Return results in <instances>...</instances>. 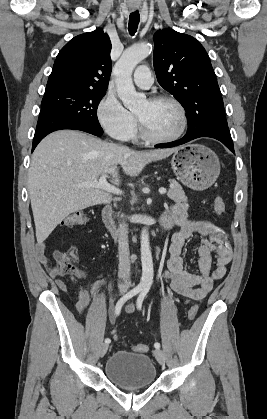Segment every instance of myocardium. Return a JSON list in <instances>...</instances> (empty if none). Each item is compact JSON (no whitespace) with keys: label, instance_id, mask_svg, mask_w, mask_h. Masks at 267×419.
Returning a JSON list of instances; mask_svg holds the SVG:
<instances>
[{"label":"myocardium","instance_id":"f54148a6","mask_svg":"<svg viewBox=\"0 0 267 419\" xmlns=\"http://www.w3.org/2000/svg\"><path fill=\"white\" fill-rule=\"evenodd\" d=\"M149 102L155 103V102H160V101H168L171 102L172 104H174L179 113H180V118H181V123H180V127L177 130L176 133H174L171 136L168 137H158V136H154L152 135L147 128L144 126L143 122L136 116V120L139 126V131L141 136L143 137V139H145L148 142L151 143H170V142H174L176 140H178L185 132L186 128H187V123H188V118H187V112L186 109L184 107V105L175 97L171 96V95H167V94H159V95H154L152 97H150L148 99Z\"/></svg>","mask_w":267,"mask_h":419}]
</instances>
